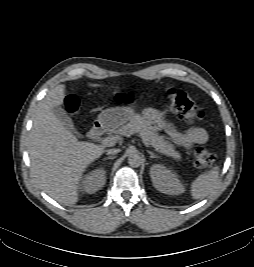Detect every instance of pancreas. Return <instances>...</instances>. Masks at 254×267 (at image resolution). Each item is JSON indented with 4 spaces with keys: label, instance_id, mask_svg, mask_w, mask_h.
I'll return each mask as SVG.
<instances>
[{
    "label": "pancreas",
    "instance_id": "obj_1",
    "mask_svg": "<svg viewBox=\"0 0 254 267\" xmlns=\"http://www.w3.org/2000/svg\"><path fill=\"white\" fill-rule=\"evenodd\" d=\"M111 133L127 136L128 134L138 133L142 139L155 148L156 151L164 154L168 157H172L175 160H181L180 153L175 151L174 146L165 140L164 136L159 135L147 121L140 115H136L135 118L123 125L119 129H112Z\"/></svg>",
    "mask_w": 254,
    "mask_h": 267
}]
</instances>
